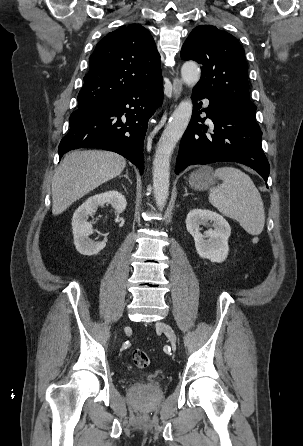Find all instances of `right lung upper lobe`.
I'll list each match as a JSON object with an SVG mask.
<instances>
[{"label":"right lung upper lobe","mask_w":303,"mask_h":446,"mask_svg":"<svg viewBox=\"0 0 303 446\" xmlns=\"http://www.w3.org/2000/svg\"><path fill=\"white\" fill-rule=\"evenodd\" d=\"M81 106L162 80L160 55L150 32L133 24L108 33L89 60Z\"/></svg>","instance_id":"1"}]
</instances>
